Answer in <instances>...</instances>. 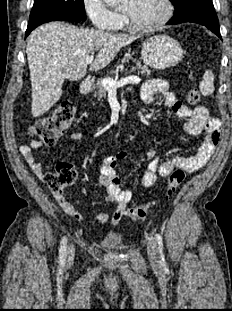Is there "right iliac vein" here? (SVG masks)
<instances>
[{
	"label": "right iliac vein",
	"instance_id": "right-iliac-vein-1",
	"mask_svg": "<svg viewBox=\"0 0 232 311\" xmlns=\"http://www.w3.org/2000/svg\"><path fill=\"white\" fill-rule=\"evenodd\" d=\"M74 246L73 245H69L68 249H67V262L70 263L73 258H74Z\"/></svg>",
	"mask_w": 232,
	"mask_h": 311
}]
</instances>
